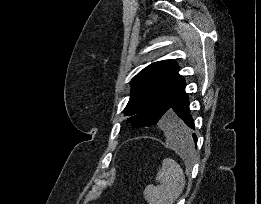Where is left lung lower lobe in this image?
I'll list each match as a JSON object with an SVG mask.
<instances>
[{
	"mask_svg": "<svg viewBox=\"0 0 261 204\" xmlns=\"http://www.w3.org/2000/svg\"><path fill=\"white\" fill-rule=\"evenodd\" d=\"M169 136L176 141L188 142L189 139L197 143L195 134L191 129L195 128L194 120L190 114L189 100L185 92V83L175 97L168 115L161 125Z\"/></svg>",
	"mask_w": 261,
	"mask_h": 204,
	"instance_id": "obj_1",
	"label": "left lung lower lobe"
}]
</instances>
